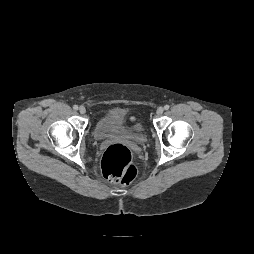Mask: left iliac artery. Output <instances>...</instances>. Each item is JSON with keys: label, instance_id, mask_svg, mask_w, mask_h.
<instances>
[{"label": "left iliac artery", "instance_id": "obj_1", "mask_svg": "<svg viewBox=\"0 0 254 254\" xmlns=\"http://www.w3.org/2000/svg\"><path fill=\"white\" fill-rule=\"evenodd\" d=\"M169 108H170L169 105H165V106H164V109H165V110H168Z\"/></svg>", "mask_w": 254, "mask_h": 254}]
</instances>
